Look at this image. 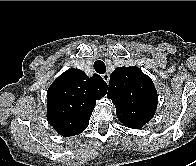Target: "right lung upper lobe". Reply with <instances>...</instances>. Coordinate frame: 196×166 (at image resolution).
I'll return each mask as SVG.
<instances>
[{"instance_id":"1","label":"right lung upper lobe","mask_w":196,"mask_h":166,"mask_svg":"<svg viewBox=\"0 0 196 166\" xmlns=\"http://www.w3.org/2000/svg\"><path fill=\"white\" fill-rule=\"evenodd\" d=\"M108 85L100 75L88 77L79 69L62 73L47 91V119L62 136L83 132L96 100L106 95Z\"/></svg>"}]
</instances>
